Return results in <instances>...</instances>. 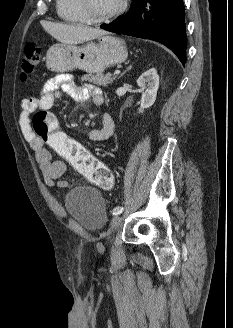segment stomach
Returning <instances> with one entry per match:
<instances>
[{
	"label": "stomach",
	"mask_w": 233,
	"mask_h": 328,
	"mask_svg": "<svg viewBox=\"0 0 233 328\" xmlns=\"http://www.w3.org/2000/svg\"><path fill=\"white\" fill-rule=\"evenodd\" d=\"M127 58L125 42L111 35L99 37L98 42L55 44L46 53L50 71L66 72L79 68L89 73H102L106 68L122 63Z\"/></svg>",
	"instance_id": "0dacf381"
}]
</instances>
